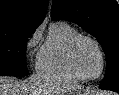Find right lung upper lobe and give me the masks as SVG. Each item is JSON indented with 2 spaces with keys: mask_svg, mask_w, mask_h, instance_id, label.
<instances>
[{
  "mask_svg": "<svg viewBox=\"0 0 119 95\" xmlns=\"http://www.w3.org/2000/svg\"><path fill=\"white\" fill-rule=\"evenodd\" d=\"M47 6L48 0H0V32L15 26L37 28Z\"/></svg>",
  "mask_w": 119,
  "mask_h": 95,
  "instance_id": "obj_1",
  "label": "right lung upper lobe"
}]
</instances>
